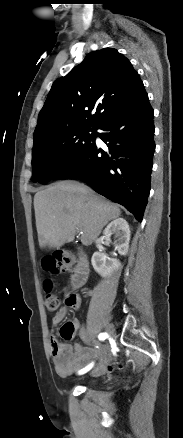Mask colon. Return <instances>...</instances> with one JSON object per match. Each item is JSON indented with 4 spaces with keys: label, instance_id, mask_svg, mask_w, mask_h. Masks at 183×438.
I'll return each mask as SVG.
<instances>
[{
    "label": "colon",
    "instance_id": "colon-1",
    "mask_svg": "<svg viewBox=\"0 0 183 438\" xmlns=\"http://www.w3.org/2000/svg\"><path fill=\"white\" fill-rule=\"evenodd\" d=\"M74 262V256L68 251H59L42 260V268L51 274H58L68 268ZM45 290V307L48 311L53 312L60 306L59 296L53 292L52 283L46 281ZM77 301V296L69 294L66 302L73 304ZM75 328L71 322L65 323L60 329V335L64 340H71L75 335Z\"/></svg>",
    "mask_w": 183,
    "mask_h": 438
}]
</instances>
